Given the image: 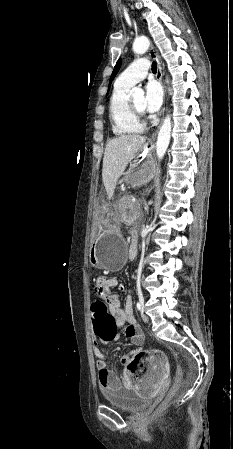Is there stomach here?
Segmentation results:
<instances>
[{
	"instance_id": "1",
	"label": "stomach",
	"mask_w": 233,
	"mask_h": 449,
	"mask_svg": "<svg viewBox=\"0 0 233 449\" xmlns=\"http://www.w3.org/2000/svg\"><path fill=\"white\" fill-rule=\"evenodd\" d=\"M145 148V147H144ZM155 166L150 160L136 161L121 179V184L127 186L144 185L152 178ZM100 210H113V201H100ZM116 212H95L94 219L98 221L97 238L92 242L91 261L97 268L110 271L120 270L125 262L126 243L116 230Z\"/></svg>"
}]
</instances>
